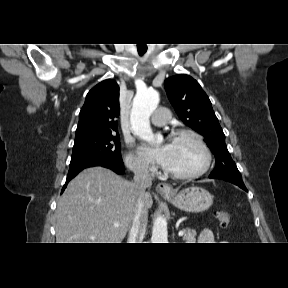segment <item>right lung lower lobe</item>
<instances>
[{"label":"right lung lower lobe","instance_id":"obj_1","mask_svg":"<svg viewBox=\"0 0 288 288\" xmlns=\"http://www.w3.org/2000/svg\"><path fill=\"white\" fill-rule=\"evenodd\" d=\"M92 166H103V167H106V168L113 170L114 172H116L118 174H122L124 172V164L123 163L122 164L114 163V162H112L108 159H105V158H89V159H85V160H82L79 162H75V163L70 164L67 179H66V182H65V185L63 187L62 192L66 188L68 182L73 177H75L83 169H85L87 167H92Z\"/></svg>","mask_w":288,"mask_h":288}]
</instances>
